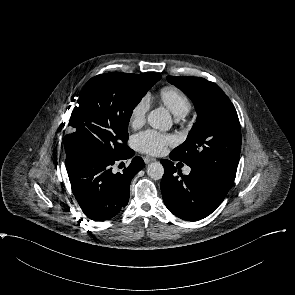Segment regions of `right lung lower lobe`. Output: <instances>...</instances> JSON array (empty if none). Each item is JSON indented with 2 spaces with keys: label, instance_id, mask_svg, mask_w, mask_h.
<instances>
[{
  "label": "right lung lower lobe",
  "instance_id": "98d812e1",
  "mask_svg": "<svg viewBox=\"0 0 295 295\" xmlns=\"http://www.w3.org/2000/svg\"><path fill=\"white\" fill-rule=\"evenodd\" d=\"M128 151L117 157L100 153L87 154L66 167L72 192L84 214L94 221L111 219L129 201L130 182L144 167L141 157H134L121 173H114L113 165L133 157Z\"/></svg>",
  "mask_w": 295,
  "mask_h": 295
}]
</instances>
